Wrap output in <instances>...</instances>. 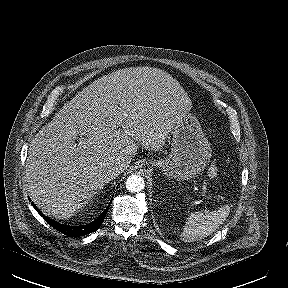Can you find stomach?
<instances>
[{
    "label": "stomach",
    "instance_id": "obj_1",
    "mask_svg": "<svg viewBox=\"0 0 288 288\" xmlns=\"http://www.w3.org/2000/svg\"><path fill=\"white\" fill-rule=\"evenodd\" d=\"M170 154L159 160H150L148 165L158 167L164 175L188 180L199 175L211 159V146L198 119L185 114L173 129Z\"/></svg>",
    "mask_w": 288,
    "mask_h": 288
}]
</instances>
